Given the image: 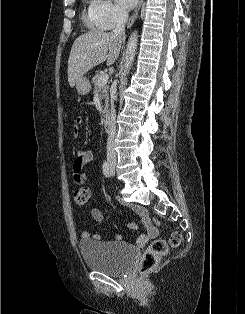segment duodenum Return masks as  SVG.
I'll return each instance as SVG.
<instances>
[{"instance_id": "1", "label": "duodenum", "mask_w": 245, "mask_h": 314, "mask_svg": "<svg viewBox=\"0 0 245 314\" xmlns=\"http://www.w3.org/2000/svg\"><path fill=\"white\" fill-rule=\"evenodd\" d=\"M102 124L106 131H109L111 129L112 117H111L110 112H107L104 115Z\"/></svg>"}]
</instances>
